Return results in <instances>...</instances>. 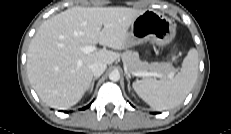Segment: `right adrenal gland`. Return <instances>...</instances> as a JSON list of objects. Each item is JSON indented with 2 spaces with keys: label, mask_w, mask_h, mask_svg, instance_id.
<instances>
[{
  "label": "right adrenal gland",
  "mask_w": 231,
  "mask_h": 134,
  "mask_svg": "<svg viewBox=\"0 0 231 134\" xmlns=\"http://www.w3.org/2000/svg\"><path fill=\"white\" fill-rule=\"evenodd\" d=\"M99 77H94L93 79H92V82H91V85H90V87H89V92H92L93 91V88H94V83H95V80H97Z\"/></svg>",
  "instance_id": "2a0ac1e0"
}]
</instances>
